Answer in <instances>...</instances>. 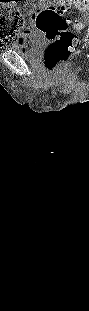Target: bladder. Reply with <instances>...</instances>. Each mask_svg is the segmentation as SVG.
Masks as SVG:
<instances>
[{
	"label": "bladder",
	"mask_w": 89,
	"mask_h": 311,
	"mask_svg": "<svg viewBox=\"0 0 89 311\" xmlns=\"http://www.w3.org/2000/svg\"><path fill=\"white\" fill-rule=\"evenodd\" d=\"M42 48V41L30 36L20 43L12 44L9 49L17 52L25 61L34 62L39 58Z\"/></svg>",
	"instance_id": "31cf9c89"
}]
</instances>
